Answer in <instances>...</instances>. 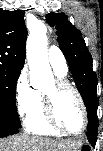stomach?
I'll return each mask as SVG.
<instances>
[{"label": "stomach", "mask_w": 103, "mask_h": 151, "mask_svg": "<svg viewBox=\"0 0 103 151\" xmlns=\"http://www.w3.org/2000/svg\"><path fill=\"white\" fill-rule=\"evenodd\" d=\"M83 147L81 146H77L75 148H68V149H64L62 151H82Z\"/></svg>", "instance_id": "1"}]
</instances>
